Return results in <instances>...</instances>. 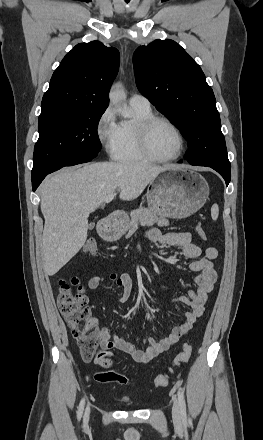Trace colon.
<instances>
[{
	"instance_id": "obj_1",
	"label": "colon",
	"mask_w": 263,
	"mask_h": 440,
	"mask_svg": "<svg viewBox=\"0 0 263 440\" xmlns=\"http://www.w3.org/2000/svg\"><path fill=\"white\" fill-rule=\"evenodd\" d=\"M197 233L203 240L206 233L201 225L197 226ZM83 251L91 256L98 254V248L94 239H89L83 247ZM58 306L63 315L72 337L77 341L79 352L83 360L95 358L98 371L95 373V380L101 383H117L128 385L129 380L123 375L114 372L112 367L111 355L108 352L95 353L98 344V337L92 326L91 310L88 299L83 293V287L76 277L61 279L59 281ZM192 351V345L185 343L174 360L172 368H177L185 364ZM170 380L169 374H161L155 379L157 388H164Z\"/></svg>"
}]
</instances>
